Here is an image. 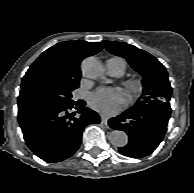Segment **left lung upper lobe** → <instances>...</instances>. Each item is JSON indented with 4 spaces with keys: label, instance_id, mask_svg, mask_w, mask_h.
<instances>
[{
    "label": "left lung upper lobe",
    "instance_id": "obj_1",
    "mask_svg": "<svg viewBox=\"0 0 194 193\" xmlns=\"http://www.w3.org/2000/svg\"><path fill=\"white\" fill-rule=\"evenodd\" d=\"M104 45L109 52L125 58L136 71L143 75V94L131 109L170 101L172 90L167 71L154 56L123 42L104 41Z\"/></svg>",
    "mask_w": 194,
    "mask_h": 193
}]
</instances>
